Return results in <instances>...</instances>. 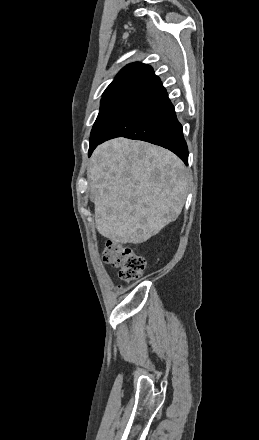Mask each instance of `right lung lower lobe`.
I'll return each instance as SVG.
<instances>
[{"mask_svg":"<svg viewBox=\"0 0 259 440\" xmlns=\"http://www.w3.org/2000/svg\"><path fill=\"white\" fill-rule=\"evenodd\" d=\"M120 136L167 148L188 165V148L182 126L161 82L148 91L136 107L104 137L90 143L89 156L100 143Z\"/></svg>","mask_w":259,"mask_h":440,"instance_id":"98d812e1","label":"right lung lower lobe"}]
</instances>
